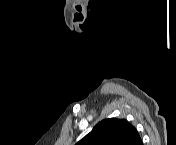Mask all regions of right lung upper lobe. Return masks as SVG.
<instances>
[{
    "label": "right lung upper lobe",
    "instance_id": "right-lung-upper-lobe-1",
    "mask_svg": "<svg viewBox=\"0 0 176 145\" xmlns=\"http://www.w3.org/2000/svg\"><path fill=\"white\" fill-rule=\"evenodd\" d=\"M77 145H143L127 120L110 118L99 122Z\"/></svg>",
    "mask_w": 176,
    "mask_h": 145
}]
</instances>
